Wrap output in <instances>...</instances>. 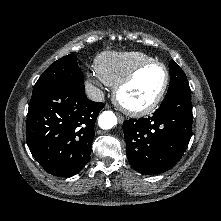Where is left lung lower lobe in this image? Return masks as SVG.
<instances>
[{
  "label": "left lung lower lobe",
  "mask_w": 221,
  "mask_h": 221,
  "mask_svg": "<svg viewBox=\"0 0 221 221\" xmlns=\"http://www.w3.org/2000/svg\"><path fill=\"white\" fill-rule=\"evenodd\" d=\"M189 89L166 97L148 118L123 124L127 158L141 174H159L171 169L184 154L192 134Z\"/></svg>",
  "instance_id": "0a47b994"
}]
</instances>
